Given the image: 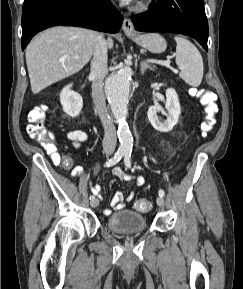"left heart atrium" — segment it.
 I'll return each mask as SVG.
<instances>
[{
  "mask_svg": "<svg viewBox=\"0 0 243 289\" xmlns=\"http://www.w3.org/2000/svg\"><path fill=\"white\" fill-rule=\"evenodd\" d=\"M122 1L129 2V1H132V0H122Z\"/></svg>",
  "mask_w": 243,
  "mask_h": 289,
  "instance_id": "obj_1",
  "label": "left heart atrium"
}]
</instances>
